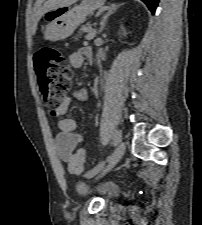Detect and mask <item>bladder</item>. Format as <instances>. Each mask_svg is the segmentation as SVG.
Listing matches in <instances>:
<instances>
[{
    "label": "bladder",
    "instance_id": "31cf9c89",
    "mask_svg": "<svg viewBox=\"0 0 202 225\" xmlns=\"http://www.w3.org/2000/svg\"><path fill=\"white\" fill-rule=\"evenodd\" d=\"M75 189L80 196H93L104 202L114 200L118 194V188L114 183L107 182L98 184L90 181L85 176L78 180Z\"/></svg>",
    "mask_w": 202,
    "mask_h": 225
}]
</instances>
